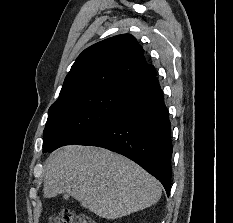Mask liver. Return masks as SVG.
Listing matches in <instances>:
<instances>
[{
    "label": "liver",
    "mask_w": 233,
    "mask_h": 223,
    "mask_svg": "<svg viewBox=\"0 0 233 223\" xmlns=\"http://www.w3.org/2000/svg\"><path fill=\"white\" fill-rule=\"evenodd\" d=\"M43 197L69 193L82 207L117 219L156 203L159 181L140 165L103 147L66 145L47 157Z\"/></svg>",
    "instance_id": "6515ba94"
}]
</instances>
